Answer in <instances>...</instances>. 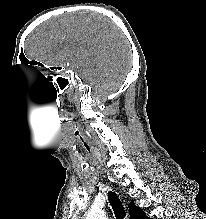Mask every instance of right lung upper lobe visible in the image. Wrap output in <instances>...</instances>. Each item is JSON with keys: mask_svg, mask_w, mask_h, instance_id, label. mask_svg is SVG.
<instances>
[{"mask_svg": "<svg viewBox=\"0 0 206 219\" xmlns=\"http://www.w3.org/2000/svg\"><path fill=\"white\" fill-rule=\"evenodd\" d=\"M129 215L130 219H148V217L145 216L144 211L135 206L133 201L129 205Z\"/></svg>", "mask_w": 206, "mask_h": 219, "instance_id": "cb5924a9", "label": "right lung upper lobe"}]
</instances>
